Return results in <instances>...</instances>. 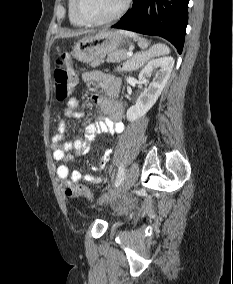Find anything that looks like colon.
I'll return each instance as SVG.
<instances>
[{"label": "colon", "instance_id": "1", "mask_svg": "<svg viewBox=\"0 0 233 284\" xmlns=\"http://www.w3.org/2000/svg\"><path fill=\"white\" fill-rule=\"evenodd\" d=\"M168 52L169 49L165 44H155L147 51L135 54L122 66V69L125 71L139 69L151 59L166 56ZM55 66V96L59 102H63L73 92L77 84V75L69 65L67 53H61L57 56ZM66 194L70 197L93 199L92 192L84 185L68 188Z\"/></svg>", "mask_w": 233, "mask_h": 284}]
</instances>
